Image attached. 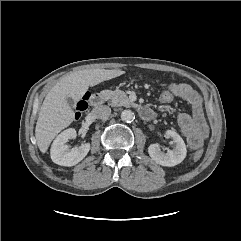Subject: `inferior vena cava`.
Returning a JSON list of instances; mask_svg holds the SVG:
<instances>
[{"instance_id":"602c4592","label":"inferior vena cava","mask_w":241,"mask_h":241,"mask_svg":"<svg viewBox=\"0 0 241 241\" xmlns=\"http://www.w3.org/2000/svg\"><path fill=\"white\" fill-rule=\"evenodd\" d=\"M93 114L96 118L105 120L110 116L111 109L106 105H102L93 109Z\"/></svg>"}]
</instances>
